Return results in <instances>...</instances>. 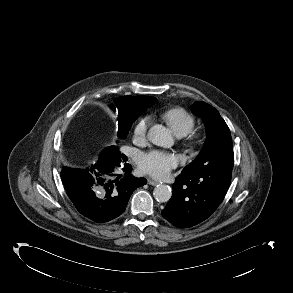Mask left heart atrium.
Wrapping results in <instances>:
<instances>
[{
	"label": "left heart atrium",
	"mask_w": 293,
	"mask_h": 293,
	"mask_svg": "<svg viewBox=\"0 0 293 293\" xmlns=\"http://www.w3.org/2000/svg\"><path fill=\"white\" fill-rule=\"evenodd\" d=\"M176 165L175 155L160 151L145 153L139 159L141 171L158 179L165 178Z\"/></svg>",
	"instance_id": "1"
}]
</instances>
